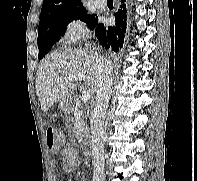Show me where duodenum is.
Wrapping results in <instances>:
<instances>
[{
	"label": "duodenum",
	"instance_id": "410a0bca",
	"mask_svg": "<svg viewBox=\"0 0 197 181\" xmlns=\"http://www.w3.org/2000/svg\"><path fill=\"white\" fill-rule=\"evenodd\" d=\"M68 107H71V104L67 105ZM88 156H92V150L90 148L87 149Z\"/></svg>",
	"mask_w": 197,
	"mask_h": 181
}]
</instances>
